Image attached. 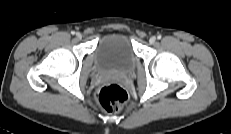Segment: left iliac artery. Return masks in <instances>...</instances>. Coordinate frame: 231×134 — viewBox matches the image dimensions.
Wrapping results in <instances>:
<instances>
[{
  "label": "left iliac artery",
  "instance_id": "left-iliac-artery-1",
  "mask_svg": "<svg viewBox=\"0 0 231 134\" xmlns=\"http://www.w3.org/2000/svg\"><path fill=\"white\" fill-rule=\"evenodd\" d=\"M157 39H161V35H158V36H157Z\"/></svg>",
  "mask_w": 231,
  "mask_h": 134
}]
</instances>
